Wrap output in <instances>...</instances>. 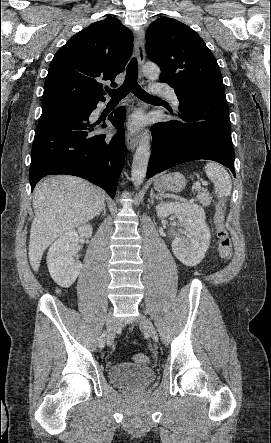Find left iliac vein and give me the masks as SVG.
Returning a JSON list of instances; mask_svg holds the SVG:
<instances>
[{"instance_id": "left-iliac-vein-1", "label": "left iliac vein", "mask_w": 271, "mask_h": 443, "mask_svg": "<svg viewBox=\"0 0 271 443\" xmlns=\"http://www.w3.org/2000/svg\"><path fill=\"white\" fill-rule=\"evenodd\" d=\"M139 324L147 333H149V335L155 342L158 341L157 331L151 321L145 315L141 314L139 316Z\"/></svg>"}]
</instances>
